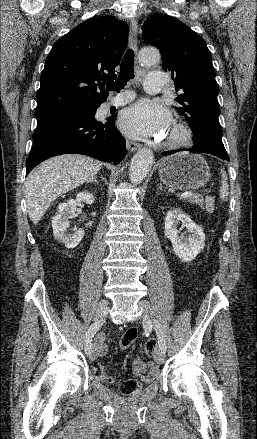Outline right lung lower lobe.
<instances>
[{"instance_id": "right-lung-lower-lobe-1", "label": "right lung lower lobe", "mask_w": 257, "mask_h": 439, "mask_svg": "<svg viewBox=\"0 0 257 439\" xmlns=\"http://www.w3.org/2000/svg\"><path fill=\"white\" fill-rule=\"evenodd\" d=\"M97 108L64 111L37 119L26 175L40 162L69 153L118 164L127 153L125 139L115 128V116L95 119Z\"/></svg>"}]
</instances>
